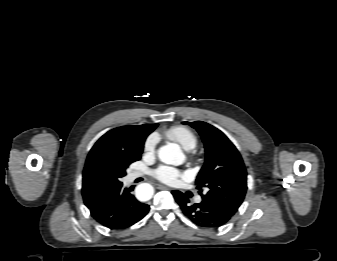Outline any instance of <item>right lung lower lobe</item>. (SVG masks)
<instances>
[{
  "instance_id": "right-lung-lower-lobe-1",
  "label": "right lung lower lobe",
  "mask_w": 337,
  "mask_h": 261,
  "mask_svg": "<svg viewBox=\"0 0 337 261\" xmlns=\"http://www.w3.org/2000/svg\"><path fill=\"white\" fill-rule=\"evenodd\" d=\"M131 188L122 189V183L106 192L92 207V217L110 229H126L140 221L149 211V205L140 203L131 194Z\"/></svg>"
}]
</instances>
